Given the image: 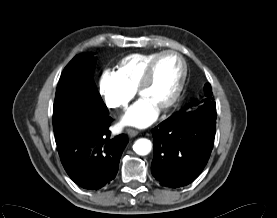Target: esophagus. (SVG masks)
<instances>
[{
  "instance_id": "1",
  "label": "esophagus",
  "mask_w": 277,
  "mask_h": 218,
  "mask_svg": "<svg viewBox=\"0 0 277 218\" xmlns=\"http://www.w3.org/2000/svg\"><path fill=\"white\" fill-rule=\"evenodd\" d=\"M126 133L128 134L129 137H135L138 134V131L128 128L126 129Z\"/></svg>"
}]
</instances>
